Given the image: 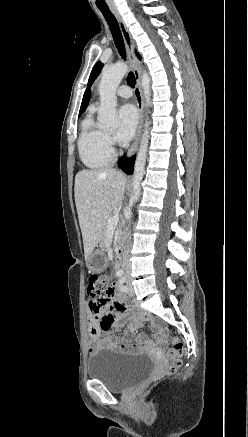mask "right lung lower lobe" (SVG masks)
I'll return each instance as SVG.
<instances>
[{
    "label": "right lung lower lobe",
    "mask_w": 248,
    "mask_h": 437,
    "mask_svg": "<svg viewBox=\"0 0 248 437\" xmlns=\"http://www.w3.org/2000/svg\"><path fill=\"white\" fill-rule=\"evenodd\" d=\"M134 162H135V156L130 158L129 160L126 159V157H121L119 160V167L126 173V174H132L133 168H134Z\"/></svg>",
    "instance_id": "98d812e1"
}]
</instances>
